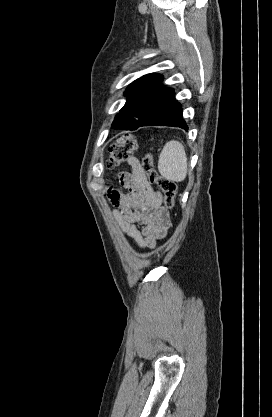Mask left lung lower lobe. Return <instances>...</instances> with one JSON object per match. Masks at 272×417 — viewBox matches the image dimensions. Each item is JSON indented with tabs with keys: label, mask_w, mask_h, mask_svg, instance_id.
Instances as JSON below:
<instances>
[{
	"label": "left lung lower lobe",
	"mask_w": 272,
	"mask_h": 417,
	"mask_svg": "<svg viewBox=\"0 0 272 417\" xmlns=\"http://www.w3.org/2000/svg\"><path fill=\"white\" fill-rule=\"evenodd\" d=\"M173 126L187 130L182 118V107L174 97V90L163 100L160 107L141 126Z\"/></svg>",
	"instance_id": "0a47b994"
}]
</instances>
